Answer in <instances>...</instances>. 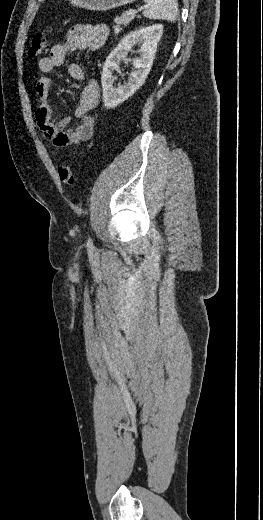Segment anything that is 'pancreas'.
Wrapping results in <instances>:
<instances>
[{"instance_id": "obj_1", "label": "pancreas", "mask_w": 263, "mask_h": 520, "mask_svg": "<svg viewBox=\"0 0 263 520\" xmlns=\"http://www.w3.org/2000/svg\"><path fill=\"white\" fill-rule=\"evenodd\" d=\"M135 18V12L132 10L124 12L120 17L114 19V32L118 34L123 27L127 26Z\"/></svg>"}]
</instances>
